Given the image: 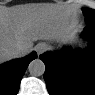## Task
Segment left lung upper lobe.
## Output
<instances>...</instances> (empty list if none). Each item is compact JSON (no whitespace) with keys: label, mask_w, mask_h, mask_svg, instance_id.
<instances>
[{"label":"left lung upper lobe","mask_w":95,"mask_h":95,"mask_svg":"<svg viewBox=\"0 0 95 95\" xmlns=\"http://www.w3.org/2000/svg\"><path fill=\"white\" fill-rule=\"evenodd\" d=\"M83 12L86 16V22L95 21V10L90 8H85Z\"/></svg>","instance_id":"5c2ea615"}]
</instances>
